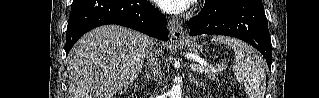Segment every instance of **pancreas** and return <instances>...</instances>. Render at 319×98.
I'll list each match as a JSON object with an SVG mask.
<instances>
[{"instance_id":"1","label":"pancreas","mask_w":319,"mask_h":98,"mask_svg":"<svg viewBox=\"0 0 319 98\" xmlns=\"http://www.w3.org/2000/svg\"><path fill=\"white\" fill-rule=\"evenodd\" d=\"M215 73L216 71H212V70H207L204 72V74L210 79H215Z\"/></svg>"}]
</instances>
